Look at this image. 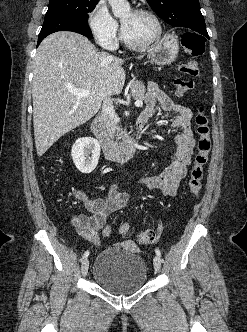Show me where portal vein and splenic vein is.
Listing matches in <instances>:
<instances>
[{"label":"portal vein and splenic vein","instance_id":"portal-vein-and-splenic-vein-1","mask_svg":"<svg viewBox=\"0 0 247 332\" xmlns=\"http://www.w3.org/2000/svg\"><path fill=\"white\" fill-rule=\"evenodd\" d=\"M70 92L78 96H88L90 94L89 90L85 89H71ZM135 106L142 107L143 106L142 100H136Z\"/></svg>","mask_w":247,"mask_h":332}]
</instances>
